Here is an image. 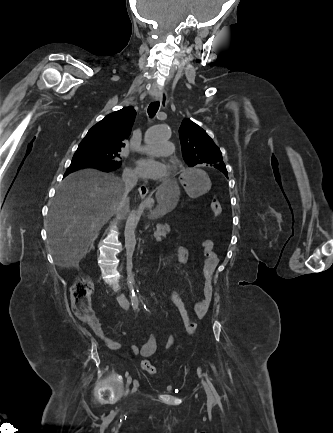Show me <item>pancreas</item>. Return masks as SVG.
Wrapping results in <instances>:
<instances>
[{
    "mask_svg": "<svg viewBox=\"0 0 333 433\" xmlns=\"http://www.w3.org/2000/svg\"><path fill=\"white\" fill-rule=\"evenodd\" d=\"M170 232V226L168 224H157L155 233L164 238Z\"/></svg>",
    "mask_w": 333,
    "mask_h": 433,
    "instance_id": "1",
    "label": "pancreas"
}]
</instances>
